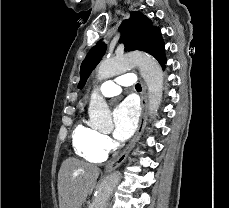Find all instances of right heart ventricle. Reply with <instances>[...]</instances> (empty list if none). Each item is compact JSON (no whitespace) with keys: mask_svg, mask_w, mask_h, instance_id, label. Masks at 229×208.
I'll list each match as a JSON object with an SVG mask.
<instances>
[{"mask_svg":"<svg viewBox=\"0 0 229 208\" xmlns=\"http://www.w3.org/2000/svg\"><path fill=\"white\" fill-rule=\"evenodd\" d=\"M99 132L94 128L79 122L75 125L71 143L74 153L88 162H97L104 159L105 154L97 147Z\"/></svg>","mask_w":229,"mask_h":208,"instance_id":"e07e8e85","label":"right heart ventricle"}]
</instances>
